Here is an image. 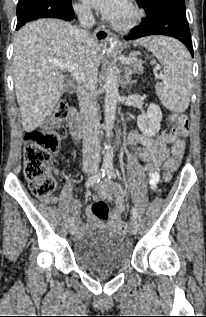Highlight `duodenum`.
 <instances>
[{"instance_id": "obj_1", "label": "duodenum", "mask_w": 206, "mask_h": 317, "mask_svg": "<svg viewBox=\"0 0 206 317\" xmlns=\"http://www.w3.org/2000/svg\"><path fill=\"white\" fill-rule=\"evenodd\" d=\"M69 127L74 139L80 140L83 138L84 129H83L82 121L80 116L75 110L71 111V115L69 118Z\"/></svg>"}]
</instances>
